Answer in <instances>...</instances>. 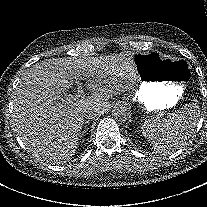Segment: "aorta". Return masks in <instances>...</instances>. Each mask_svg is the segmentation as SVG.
<instances>
[{
  "label": "aorta",
  "mask_w": 207,
  "mask_h": 207,
  "mask_svg": "<svg viewBox=\"0 0 207 207\" xmlns=\"http://www.w3.org/2000/svg\"><path fill=\"white\" fill-rule=\"evenodd\" d=\"M129 115L130 111L125 103L116 104L112 109V116L117 121H126Z\"/></svg>",
  "instance_id": "obj_1"
}]
</instances>
